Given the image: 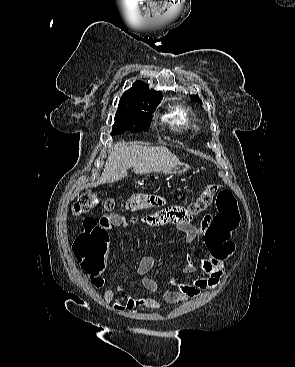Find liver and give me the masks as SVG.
Returning a JSON list of instances; mask_svg holds the SVG:
<instances>
[{"label":"liver","mask_w":295,"mask_h":367,"mask_svg":"<svg viewBox=\"0 0 295 367\" xmlns=\"http://www.w3.org/2000/svg\"><path fill=\"white\" fill-rule=\"evenodd\" d=\"M179 163L176 155L166 147L128 146L124 141H119L108 156L97 184L119 181L127 176V170L131 167L136 174H148L170 170Z\"/></svg>","instance_id":"1"}]
</instances>
